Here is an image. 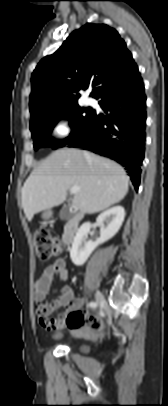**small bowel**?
<instances>
[{"label":"small bowel","mask_w":168,"mask_h":406,"mask_svg":"<svg viewBox=\"0 0 168 406\" xmlns=\"http://www.w3.org/2000/svg\"><path fill=\"white\" fill-rule=\"evenodd\" d=\"M58 276L60 280L66 281L69 277L68 270L66 268L65 260L59 258L55 260L51 265L46 267L40 277L35 283V300L38 305V311L44 314L52 312L58 307L65 306L68 308L69 312L60 313L53 319H46L44 317L40 318V324L47 330L58 332L68 327L73 333H80L90 335L94 331L89 329L84 325L69 326L66 322L68 314L74 313L78 308L84 303V298L75 297L72 289L69 286H64L62 288V295L54 301V303L48 306L45 310L40 309L39 304H41L47 297L50 290L52 281L55 276Z\"/></svg>","instance_id":"c3829d8e"}]
</instances>
